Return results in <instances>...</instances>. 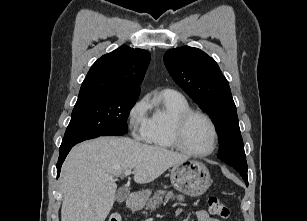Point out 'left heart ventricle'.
I'll use <instances>...</instances> for the list:
<instances>
[{
    "instance_id": "obj_1",
    "label": "left heart ventricle",
    "mask_w": 307,
    "mask_h": 221,
    "mask_svg": "<svg viewBox=\"0 0 307 221\" xmlns=\"http://www.w3.org/2000/svg\"><path fill=\"white\" fill-rule=\"evenodd\" d=\"M183 142L193 152L203 153L212 145V130L208 122L200 117H193L186 125Z\"/></svg>"
}]
</instances>
